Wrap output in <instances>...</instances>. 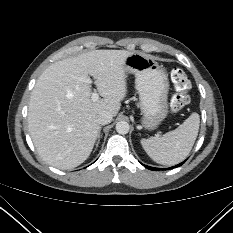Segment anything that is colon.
<instances>
[{
	"mask_svg": "<svg viewBox=\"0 0 233 233\" xmlns=\"http://www.w3.org/2000/svg\"><path fill=\"white\" fill-rule=\"evenodd\" d=\"M170 79L175 89L170 101V108L173 112H179L189 103L191 81L189 76L180 68L171 70Z\"/></svg>",
	"mask_w": 233,
	"mask_h": 233,
	"instance_id": "colon-1",
	"label": "colon"
}]
</instances>
